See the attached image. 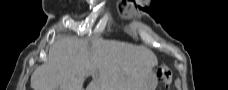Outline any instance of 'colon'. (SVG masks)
Segmentation results:
<instances>
[{
    "label": "colon",
    "instance_id": "1",
    "mask_svg": "<svg viewBox=\"0 0 228 90\" xmlns=\"http://www.w3.org/2000/svg\"><path fill=\"white\" fill-rule=\"evenodd\" d=\"M160 76H161V79H162L165 87L168 88L172 82V72H171L170 68L166 65H163L160 68Z\"/></svg>",
    "mask_w": 228,
    "mask_h": 90
}]
</instances>
